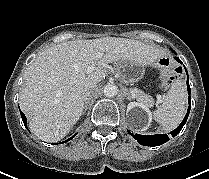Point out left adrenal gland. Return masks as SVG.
Listing matches in <instances>:
<instances>
[{
    "label": "left adrenal gland",
    "mask_w": 209,
    "mask_h": 179,
    "mask_svg": "<svg viewBox=\"0 0 209 179\" xmlns=\"http://www.w3.org/2000/svg\"><path fill=\"white\" fill-rule=\"evenodd\" d=\"M126 99L127 100H131V95H130V93L128 91H126Z\"/></svg>",
    "instance_id": "1"
}]
</instances>
